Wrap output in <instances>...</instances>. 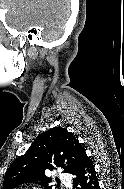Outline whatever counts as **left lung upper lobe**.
<instances>
[{
    "label": "left lung upper lobe",
    "instance_id": "obj_1",
    "mask_svg": "<svg viewBox=\"0 0 124 189\" xmlns=\"http://www.w3.org/2000/svg\"><path fill=\"white\" fill-rule=\"evenodd\" d=\"M86 156L82 144L73 133L54 127L40 134L26 153L10 165L4 176L3 189H13L27 182L51 189L52 186H48L51 178L45 175L46 170L61 167L65 173L72 175Z\"/></svg>",
    "mask_w": 124,
    "mask_h": 189
}]
</instances>
